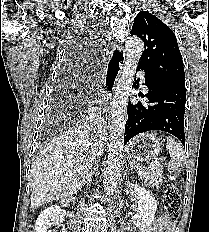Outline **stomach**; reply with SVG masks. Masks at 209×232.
<instances>
[{
	"label": "stomach",
	"instance_id": "stomach-1",
	"mask_svg": "<svg viewBox=\"0 0 209 232\" xmlns=\"http://www.w3.org/2000/svg\"><path fill=\"white\" fill-rule=\"evenodd\" d=\"M125 151L129 159L147 161L155 158L160 153L161 143L155 135L142 133L125 146Z\"/></svg>",
	"mask_w": 209,
	"mask_h": 232
}]
</instances>
